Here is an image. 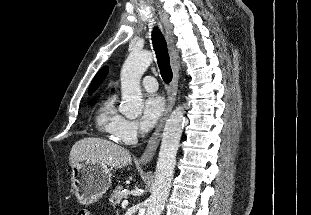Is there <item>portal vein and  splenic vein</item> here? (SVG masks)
<instances>
[{"instance_id": "portal-vein-and-splenic-vein-1", "label": "portal vein and splenic vein", "mask_w": 311, "mask_h": 215, "mask_svg": "<svg viewBox=\"0 0 311 215\" xmlns=\"http://www.w3.org/2000/svg\"><path fill=\"white\" fill-rule=\"evenodd\" d=\"M127 205H128V201H127V200H124V201L122 202V208H125Z\"/></svg>"}]
</instances>
